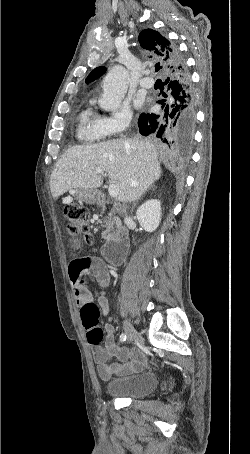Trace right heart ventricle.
Returning a JSON list of instances; mask_svg holds the SVG:
<instances>
[{
	"instance_id": "1",
	"label": "right heart ventricle",
	"mask_w": 250,
	"mask_h": 454,
	"mask_svg": "<svg viewBox=\"0 0 250 454\" xmlns=\"http://www.w3.org/2000/svg\"><path fill=\"white\" fill-rule=\"evenodd\" d=\"M76 136L79 140L93 143L104 138L103 131L100 127V117L87 108L79 115Z\"/></svg>"
}]
</instances>
